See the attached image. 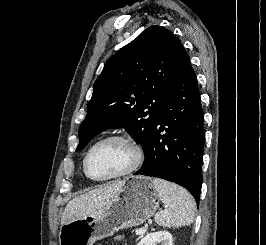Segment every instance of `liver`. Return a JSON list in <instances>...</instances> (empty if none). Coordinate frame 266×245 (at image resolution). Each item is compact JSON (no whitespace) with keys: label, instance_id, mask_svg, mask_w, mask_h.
I'll use <instances>...</instances> for the list:
<instances>
[{"label":"liver","instance_id":"6515ba94","mask_svg":"<svg viewBox=\"0 0 266 245\" xmlns=\"http://www.w3.org/2000/svg\"><path fill=\"white\" fill-rule=\"evenodd\" d=\"M123 185L124 181H117V183H109V185H104V187L84 193L80 197H75L65 207L61 225H65L69 221H75V219L88 217V215H96L98 211L106 209L114 201Z\"/></svg>","mask_w":266,"mask_h":245}]
</instances>
